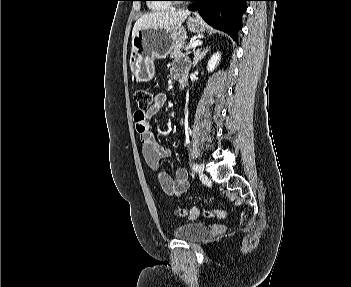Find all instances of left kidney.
Here are the masks:
<instances>
[{"instance_id": "1", "label": "left kidney", "mask_w": 351, "mask_h": 287, "mask_svg": "<svg viewBox=\"0 0 351 287\" xmlns=\"http://www.w3.org/2000/svg\"><path fill=\"white\" fill-rule=\"evenodd\" d=\"M220 58H221V54L219 52H217L211 56V58L208 61V65H207L208 72L214 71V69L217 67V64L220 61Z\"/></svg>"}]
</instances>
